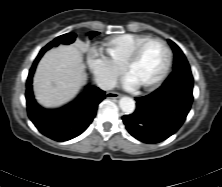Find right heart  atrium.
I'll list each match as a JSON object with an SVG mask.
<instances>
[{"mask_svg": "<svg viewBox=\"0 0 222 187\" xmlns=\"http://www.w3.org/2000/svg\"><path fill=\"white\" fill-rule=\"evenodd\" d=\"M87 64L97 84L102 88L111 87L122 71L121 67L95 48H91L88 51Z\"/></svg>", "mask_w": 222, "mask_h": 187, "instance_id": "right-heart-atrium-1", "label": "right heart atrium"}]
</instances>
